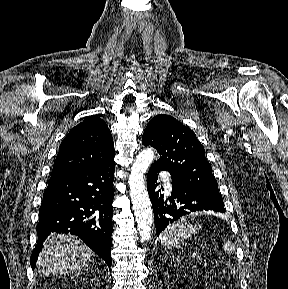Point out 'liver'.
I'll use <instances>...</instances> for the list:
<instances>
[{
  "label": "liver",
  "instance_id": "1",
  "mask_svg": "<svg viewBox=\"0 0 288 289\" xmlns=\"http://www.w3.org/2000/svg\"><path fill=\"white\" fill-rule=\"evenodd\" d=\"M94 256V252L77 237L54 235L40 252L37 268L47 276L69 274L88 267Z\"/></svg>",
  "mask_w": 288,
  "mask_h": 289
}]
</instances>
